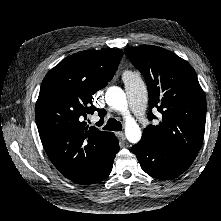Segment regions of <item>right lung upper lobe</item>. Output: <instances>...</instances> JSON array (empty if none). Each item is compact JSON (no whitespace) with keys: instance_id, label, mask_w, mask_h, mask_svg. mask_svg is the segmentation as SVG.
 I'll list each match as a JSON object with an SVG mask.
<instances>
[{"instance_id":"obj_1","label":"right lung upper lobe","mask_w":221,"mask_h":221,"mask_svg":"<svg viewBox=\"0 0 221 221\" xmlns=\"http://www.w3.org/2000/svg\"><path fill=\"white\" fill-rule=\"evenodd\" d=\"M123 56L118 49L75 53L43 79L35 106L43 147L54 166L72 182L94 177L109 164L115 150L112 132L85 122L105 110L92 105V95L113 78Z\"/></svg>"}]
</instances>
